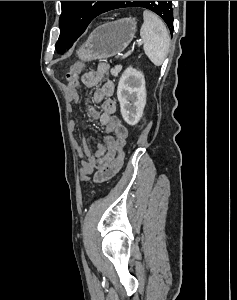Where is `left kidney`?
<instances>
[{"label": "left kidney", "instance_id": "obj_1", "mask_svg": "<svg viewBox=\"0 0 237 300\" xmlns=\"http://www.w3.org/2000/svg\"><path fill=\"white\" fill-rule=\"evenodd\" d=\"M117 99L121 115L127 125L139 123L146 105L145 79L141 71L128 67L120 77Z\"/></svg>", "mask_w": 237, "mask_h": 300}]
</instances>
